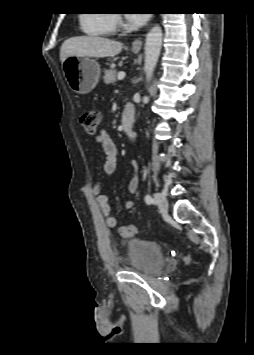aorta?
Here are the masks:
<instances>
[{
    "instance_id": "aorta-1",
    "label": "aorta",
    "mask_w": 254,
    "mask_h": 355,
    "mask_svg": "<svg viewBox=\"0 0 254 355\" xmlns=\"http://www.w3.org/2000/svg\"><path fill=\"white\" fill-rule=\"evenodd\" d=\"M162 29L159 25H155L147 34L145 43V66L147 81H150L153 71L156 67L162 45Z\"/></svg>"
}]
</instances>
